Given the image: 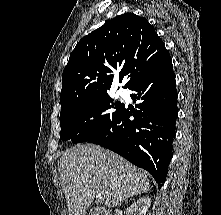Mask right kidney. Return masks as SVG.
Listing matches in <instances>:
<instances>
[{"label":"right kidney","mask_w":221,"mask_h":215,"mask_svg":"<svg viewBox=\"0 0 221 215\" xmlns=\"http://www.w3.org/2000/svg\"><path fill=\"white\" fill-rule=\"evenodd\" d=\"M150 206L151 199L149 197L139 198L127 209V215H146Z\"/></svg>","instance_id":"obj_1"}]
</instances>
